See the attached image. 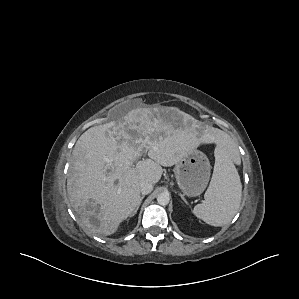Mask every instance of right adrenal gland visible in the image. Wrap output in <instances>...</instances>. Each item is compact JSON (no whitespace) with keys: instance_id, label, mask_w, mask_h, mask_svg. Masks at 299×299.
Masks as SVG:
<instances>
[{"instance_id":"2a0ac1e0","label":"right adrenal gland","mask_w":299,"mask_h":299,"mask_svg":"<svg viewBox=\"0 0 299 299\" xmlns=\"http://www.w3.org/2000/svg\"><path fill=\"white\" fill-rule=\"evenodd\" d=\"M144 195H142L141 197H140V200H139V202H138V205H137V207H136V209L134 210V212L132 213V216H134L136 213H137V211H138V209H139V207H140V205H141V203H142V200L144 199Z\"/></svg>"}]
</instances>
